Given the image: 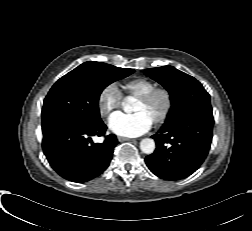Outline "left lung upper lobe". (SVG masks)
Instances as JSON below:
<instances>
[{
    "instance_id": "1",
    "label": "left lung upper lobe",
    "mask_w": 252,
    "mask_h": 231,
    "mask_svg": "<svg viewBox=\"0 0 252 231\" xmlns=\"http://www.w3.org/2000/svg\"><path fill=\"white\" fill-rule=\"evenodd\" d=\"M144 73L160 83L170 94L172 106L165 124L190 110L212 109L210 95L192 76L172 66L150 68Z\"/></svg>"
}]
</instances>
